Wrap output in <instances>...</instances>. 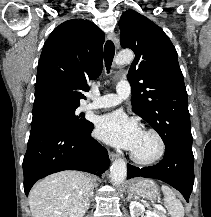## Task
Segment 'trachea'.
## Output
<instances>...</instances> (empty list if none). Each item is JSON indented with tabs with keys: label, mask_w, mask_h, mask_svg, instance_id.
<instances>
[{
	"label": "trachea",
	"mask_w": 211,
	"mask_h": 217,
	"mask_svg": "<svg viewBox=\"0 0 211 217\" xmlns=\"http://www.w3.org/2000/svg\"><path fill=\"white\" fill-rule=\"evenodd\" d=\"M114 54H115L114 43L111 40H108L104 46V61L108 73L111 69Z\"/></svg>",
	"instance_id": "3493384b"
}]
</instances>
